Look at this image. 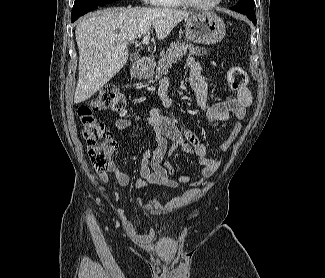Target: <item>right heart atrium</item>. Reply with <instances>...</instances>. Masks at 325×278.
I'll return each instance as SVG.
<instances>
[{
    "mask_svg": "<svg viewBox=\"0 0 325 278\" xmlns=\"http://www.w3.org/2000/svg\"><path fill=\"white\" fill-rule=\"evenodd\" d=\"M142 1L149 4H157L159 0H142Z\"/></svg>",
    "mask_w": 325,
    "mask_h": 278,
    "instance_id": "obj_1",
    "label": "right heart atrium"
}]
</instances>
